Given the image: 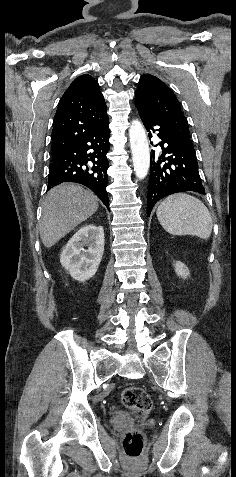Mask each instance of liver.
<instances>
[{
    "label": "liver",
    "instance_id": "1",
    "mask_svg": "<svg viewBox=\"0 0 236 477\" xmlns=\"http://www.w3.org/2000/svg\"><path fill=\"white\" fill-rule=\"evenodd\" d=\"M98 209V198L90 190L64 183L52 188L42 205L40 237L50 248Z\"/></svg>",
    "mask_w": 236,
    "mask_h": 477
}]
</instances>
